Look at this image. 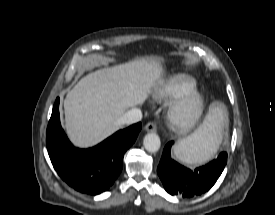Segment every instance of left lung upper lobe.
Returning a JSON list of instances; mask_svg holds the SVG:
<instances>
[{
	"label": "left lung upper lobe",
	"mask_w": 275,
	"mask_h": 215,
	"mask_svg": "<svg viewBox=\"0 0 275 215\" xmlns=\"http://www.w3.org/2000/svg\"><path fill=\"white\" fill-rule=\"evenodd\" d=\"M222 153H224L223 155H225V156L227 157V154H226V152H222Z\"/></svg>",
	"instance_id": "1"
}]
</instances>
